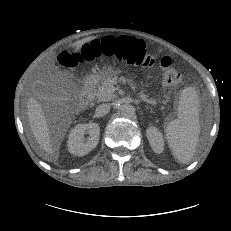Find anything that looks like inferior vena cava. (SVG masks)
<instances>
[{
	"instance_id": "inferior-vena-cava-1",
	"label": "inferior vena cava",
	"mask_w": 231,
	"mask_h": 231,
	"mask_svg": "<svg viewBox=\"0 0 231 231\" xmlns=\"http://www.w3.org/2000/svg\"><path fill=\"white\" fill-rule=\"evenodd\" d=\"M110 111V104L105 103V104H100L97 108H96V115L98 117H102L105 116L106 114H108Z\"/></svg>"
}]
</instances>
